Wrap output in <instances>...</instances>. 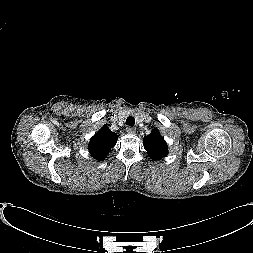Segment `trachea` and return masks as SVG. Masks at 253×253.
I'll return each instance as SVG.
<instances>
[{"mask_svg": "<svg viewBox=\"0 0 253 253\" xmlns=\"http://www.w3.org/2000/svg\"><path fill=\"white\" fill-rule=\"evenodd\" d=\"M134 124H135V119H134V117L129 116V117L126 119V125L132 127V126H134Z\"/></svg>", "mask_w": 253, "mask_h": 253, "instance_id": "3493384b", "label": "trachea"}]
</instances>
